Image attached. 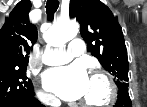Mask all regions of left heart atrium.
Segmentation results:
<instances>
[{
	"instance_id": "obj_1",
	"label": "left heart atrium",
	"mask_w": 147,
	"mask_h": 107,
	"mask_svg": "<svg viewBox=\"0 0 147 107\" xmlns=\"http://www.w3.org/2000/svg\"><path fill=\"white\" fill-rule=\"evenodd\" d=\"M89 81L85 68L78 64L50 69L44 76L45 88L67 101L81 99Z\"/></svg>"
}]
</instances>
